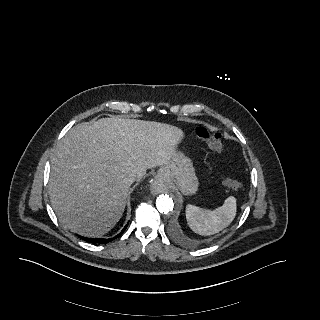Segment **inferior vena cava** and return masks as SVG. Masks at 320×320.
Instances as JSON below:
<instances>
[{
	"label": "inferior vena cava",
	"mask_w": 320,
	"mask_h": 320,
	"mask_svg": "<svg viewBox=\"0 0 320 320\" xmlns=\"http://www.w3.org/2000/svg\"><path fill=\"white\" fill-rule=\"evenodd\" d=\"M136 180V175L135 174H130L127 178V181L132 184Z\"/></svg>",
	"instance_id": "obj_1"
}]
</instances>
